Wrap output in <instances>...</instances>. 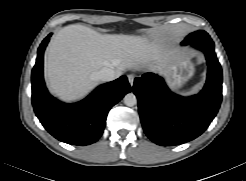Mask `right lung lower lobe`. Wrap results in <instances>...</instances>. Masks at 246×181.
Masks as SVG:
<instances>
[{"instance_id": "98d812e1", "label": "right lung lower lobe", "mask_w": 246, "mask_h": 181, "mask_svg": "<svg viewBox=\"0 0 246 181\" xmlns=\"http://www.w3.org/2000/svg\"><path fill=\"white\" fill-rule=\"evenodd\" d=\"M51 34L38 48L32 70V104L44 128L56 139L71 145H89L102 135L106 116L130 92L126 76L96 88L84 100L65 104L52 97L43 79V55Z\"/></svg>"}]
</instances>
